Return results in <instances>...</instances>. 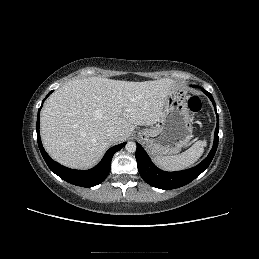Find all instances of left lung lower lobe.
<instances>
[{
    "instance_id": "1",
    "label": "left lung lower lobe",
    "mask_w": 259,
    "mask_h": 259,
    "mask_svg": "<svg viewBox=\"0 0 259 259\" xmlns=\"http://www.w3.org/2000/svg\"><path fill=\"white\" fill-rule=\"evenodd\" d=\"M202 91L210 98L216 112V104L214 102L212 95L204 89H202ZM216 115L217 125L214 133L213 147L209 155L200 164L193 168L178 172L162 171L152 163L145 150L139 143H137L135 157L137 160L139 173L143 180L153 187L164 190H170L182 187L190 183L192 180L198 177L204 170H206L209 164L211 163L218 146L219 118L217 112Z\"/></svg>"
}]
</instances>
